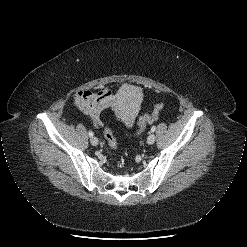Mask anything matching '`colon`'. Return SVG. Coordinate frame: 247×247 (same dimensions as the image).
<instances>
[{"mask_svg": "<svg viewBox=\"0 0 247 247\" xmlns=\"http://www.w3.org/2000/svg\"><path fill=\"white\" fill-rule=\"evenodd\" d=\"M153 120H154V117L149 115V114H145L144 116H142L139 120V123H138L137 133L138 134L142 133L144 131L145 127L148 124H150ZM104 135H105V138L107 140L109 147L115 151L117 149V140H116L112 130L109 128H106L104 131Z\"/></svg>", "mask_w": 247, "mask_h": 247, "instance_id": "5ec220e1", "label": "colon"}]
</instances>
